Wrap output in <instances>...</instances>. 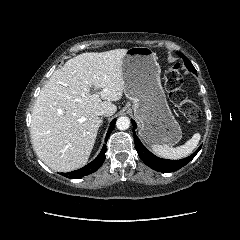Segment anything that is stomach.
<instances>
[{
  "label": "stomach",
  "mask_w": 240,
  "mask_h": 240,
  "mask_svg": "<svg viewBox=\"0 0 240 240\" xmlns=\"http://www.w3.org/2000/svg\"><path fill=\"white\" fill-rule=\"evenodd\" d=\"M124 94L139 122V134L148 144L173 146L182 138L160 82L155 53L148 47H132L122 64Z\"/></svg>",
  "instance_id": "0dacf381"
}]
</instances>
